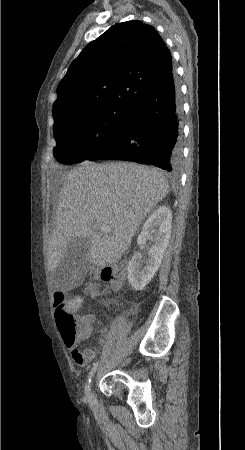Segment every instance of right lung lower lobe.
<instances>
[{"label": "right lung lower lobe", "instance_id": "right-lung-lower-lobe-1", "mask_svg": "<svg viewBox=\"0 0 245 450\" xmlns=\"http://www.w3.org/2000/svg\"><path fill=\"white\" fill-rule=\"evenodd\" d=\"M181 103L173 71L131 106L120 137L88 160L152 164L176 175L181 168Z\"/></svg>", "mask_w": 245, "mask_h": 450}]
</instances>
